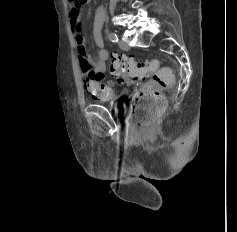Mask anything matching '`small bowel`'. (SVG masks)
Here are the masks:
<instances>
[{"mask_svg": "<svg viewBox=\"0 0 237 232\" xmlns=\"http://www.w3.org/2000/svg\"><path fill=\"white\" fill-rule=\"evenodd\" d=\"M69 20L75 36L79 66L83 75V85L92 97L99 101H108L115 97V91L111 82H105L106 61L109 52L104 48L102 38L103 14L98 11L93 23V38L99 48L96 57L88 55L85 51L84 37L81 34L80 8L71 6Z\"/></svg>", "mask_w": 237, "mask_h": 232, "instance_id": "1", "label": "small bowel"}]
</instances>
